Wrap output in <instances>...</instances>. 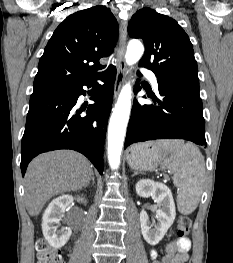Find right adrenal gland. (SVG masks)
<instances>
[{"label":"right adrenal gland","instance_id":"1","mask_svg":"<svg viewBox=\"0 0 233 263\" xmlns=\"http://www.w3.org/2000/svg\"><path fill=\"white\" fill-rule=\"evenodd\" d=\"M91 181H92V184L94 185L95 184L94 174H92V176H91Z\"/></svg>","mask_w":233,"mask_h":263}]
</instances>
